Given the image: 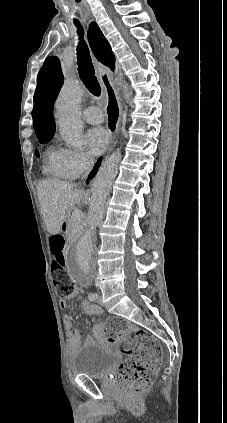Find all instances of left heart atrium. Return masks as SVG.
<instances>
[{
    "label": "left heart atrium",
    "instance_id": "obj_1",
    "mask_svg": "<svg viewBox=\"0 0 227 423\" xmlns=\"http://www.w3.org/2000/svg\"><path fill=\"white\" fill-rule=\"evenodd\" d=\"M87 141L92 154L99 155L106 149L109 135L104 128H93L87 134Z\"/></svg>",
    "mask_w": 227,
    "mask_h": 423
}]
</instances>
